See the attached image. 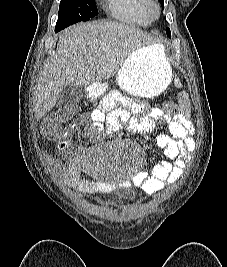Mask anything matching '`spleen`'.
<instances>
[{"instance_id":"1","label":"spleen","mask_w":227,"mask_h":267,"mask_svg":"<svg viewBox=\"0 0 227 267\" xmlns=\"http://www.w3.org/2000/svg\"><path fill=\"white\" fill-rule=\"evenodd\" d=\"M157 47H171V42H157ZM178 98H189V93H178ZM177 105H190V100H177ZM182 111H189V106H182Z\"/></svg>"}]
</instances>
